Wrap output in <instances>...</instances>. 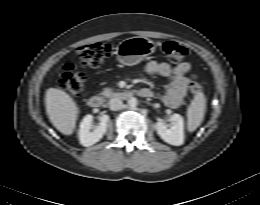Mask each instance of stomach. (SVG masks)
Here are the masks:
<instances>
[{
    "label": "stomach",
    "mask_w": 260,
    "mask_h": 205,
    "mask_svg": "<svg viewBox=\"0 0 260 205\" xmlns=\"http://www.w3.org/2000/svg\"><path fill=\"white\" fill-rule=\"evenodd\" d=\"M155 50L156 44L152 40L145 37H131L118 44L117 60L126 66L136 65Z\"/></svg>",
    "instance_id": "stomach-1"
}]
</instances>
